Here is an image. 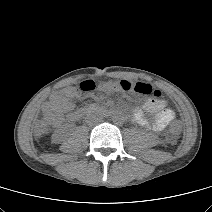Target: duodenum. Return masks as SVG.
Returning <instances> with one entry per match:
<instances>
[{"instance_id":"obj_1","label":"duodenum","mask_w":212,"mask_h":212,"mask_svg":"<svg viewBox=\"0 0 212 212\" xmlns=\"http://www.w3.org/2000/svg\"><path fill=\"white\" fill-rule=\"evenodd\" d=\"M90 110H91V108H84V109L80 110L79 116L87 114Z\"/></svg>"}]
</instances>
